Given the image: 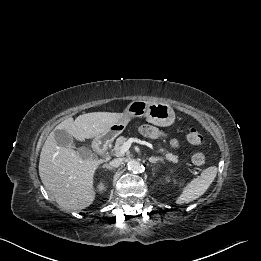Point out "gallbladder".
Instances as JSON below:
<instances>
[{
  "instance_id": "gallbladder-1",
  "label": "gallbladder",
  "mask_w": 261,
  "mask_h": 261,
  "mask_svg": "<svg viewBox=\"0 0 261 261\" xmlns=\"http://www.w3.org/2000/svg\"><path fill=\"white\" fill-rule=\"evenodd\" d=\"M55 139L59 146L61 147H71L76 148L73 137L66 130H55ZM78 154L83 158H90L92 156V151L88 147L77 148Z\"/></svg>"
}]
</instances>
